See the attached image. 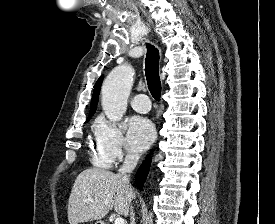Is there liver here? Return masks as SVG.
<instances>
[{"label":"liver","instance_id":"6515ba94","mask_svg":"<svg viewBox=\"0 0 275 224\" xmlns=\"http://www.w3.org/2000/svg\"><path fill=\"white\" fill-rule=\"evenodd\" d=\"M135 192L124 183L119 174L99 168L81 172L74 184L68 201L70 224L100 220L114 207L127 217Z\"/></svg>","mask_w":275,"mask_h":224}]
</instances>
